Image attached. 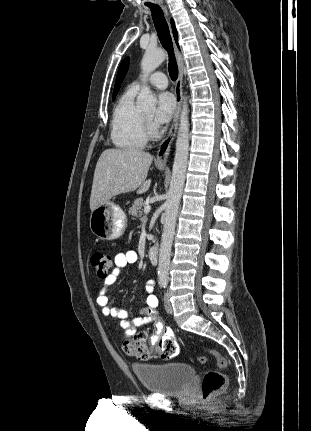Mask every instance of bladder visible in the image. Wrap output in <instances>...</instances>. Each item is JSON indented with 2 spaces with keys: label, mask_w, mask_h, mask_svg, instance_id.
Masks as SVG:
<instances>
[{
  "label": "bladder",
  "mask_w": 311,
  "mask_h": 431,
  "mask_svg": "<svg viewBox=\"0 0 311 431\" xmlns=\"http://www.w3.org/2000/svg\"><path fill=\"white\" fill-rule=\"evenodd\" d=\"M133 372L142 386L153 393H183L195 377V369L187 363H137Z\"/></svg>",
  "instance_id": "1"
}]
</instances>
